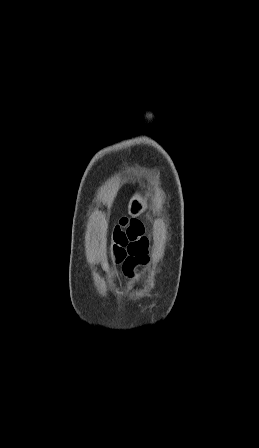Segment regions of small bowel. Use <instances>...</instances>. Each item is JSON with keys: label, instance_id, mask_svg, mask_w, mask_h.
<instances>
[{"label": "small bowel", "instance_id": "1", "mask_svg": "<svg viewBox=\"0 0 259 448\" xmlns=\"http://www.w3.org/2000/svg\"><path fill=\"white\" fill-rule=\"evenodd\" d=\"M148 247L142 225L138 221H125L114 229L111 259L125 275L132 276L136 268L148 263Z\"/></svg>", "mask_w": 259, "mask_h": 448}]
</instances>
